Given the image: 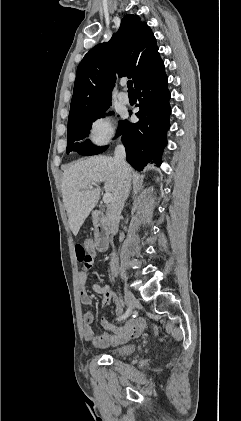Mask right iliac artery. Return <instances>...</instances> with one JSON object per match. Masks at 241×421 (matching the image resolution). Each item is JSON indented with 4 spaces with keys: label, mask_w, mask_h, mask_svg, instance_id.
<instances>
[{
    "label": "right iliac artery",
    "mask_w": 241,
    "mask_h": 421,
    "mask_svg": "<svg viewBox=\"0 0 241 421\" xmlns=\"http://www.w3.org/2000/svg\"><path fill=\"white\" fill-rule=\"evenodd\" d=\"M129 315H130V310H129V309H127V310H126V312H125L122 316H120L119 318H117V320H122V319H125V318H127Z\"/></svg>",
    "instance_id": "82829eb1"
}]
</instances>
